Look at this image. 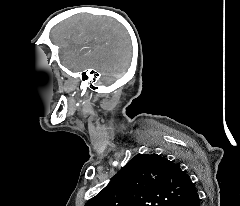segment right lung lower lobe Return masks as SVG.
I'll use <instances>...</instances> for the list:
<instances>
[{
	"label": "right lung lower lobe",
	"mask_w": 240,
	"mask_h": 206,
	"mask_svg": "<svg viewBox=\"0 0 240 206\" xmlns=\"http://www.w3.org/2000/svg\"><path fill=\"white\" fill-rule=\"evenodd\" d=\"M172 206H200L199 195L196 191L190 197L182 199V200L174 203Z\"/></svg>",
	"instance_id": "right-lung-lower-lobe-1"
}]
</instances>
